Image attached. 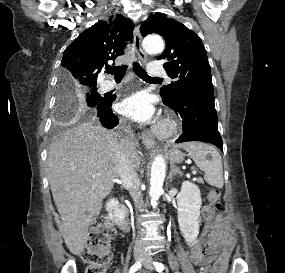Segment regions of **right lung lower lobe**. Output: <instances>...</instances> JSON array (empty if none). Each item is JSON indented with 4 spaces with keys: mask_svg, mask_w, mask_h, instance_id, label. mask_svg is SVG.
Instances as JSON below:
<instances>
[{
    "mask_svg": "<svg viewBox=\"0 0 285 273\" xmlns=\"http://www.w3.org/2000/svg\"><path fill=\"white\" fill-rule=\"evenodd\" d=\"M113 100L111 97H104L97 106V117L106 128H113L118 125V118L111 110Z\"/></svg>",
    "mask_w": 285,
    "mask_h": 273,
    "instance_id": "right-lung-lower-lobe-1",
    "label": "right lung lower lobe"
}]
</instances>
